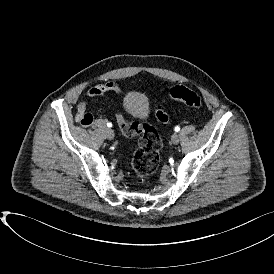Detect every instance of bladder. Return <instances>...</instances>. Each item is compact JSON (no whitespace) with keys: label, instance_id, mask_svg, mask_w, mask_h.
Wrapping results in <instances>:
<instances>
[{"label":"bladder","instance_id":"bladder-1","mask_svg":"<svg viewBox=\"0 0 274 274\" xmlns=\"http://www.w3.org/2000/svg\"><path fill=\"white\" fill-rule=\"evenodd\" d=\"M148 100L141 93H130L123 101L125 112L137 120L142 119L148 112Z\"/></svg>","mask_w":274,"mask_h":274}]
</instances>
